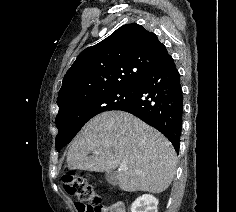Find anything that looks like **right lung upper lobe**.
I'll return each mask as SVG.
<instances>
[{
	"label": "right lung upper lobe",
	"mask_w": 236,
	"mask_h": 212,
	"mask_svg": "<svg viewBox=\"0 0 236 212\" xmlns=\"http://www.w3.org/2000/svg\"><path fill=\"white\" fill-rule=\"evenodd\" d=\"M166 52L157 36L141 25L120 27L78 55L63 78L59 109L93 94L138 85Z\"/></svg>",
	"instance_id": "1"
}]
</instances>
